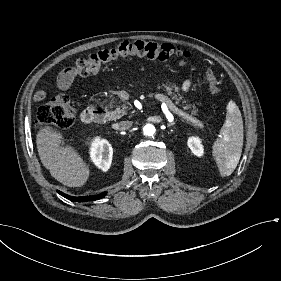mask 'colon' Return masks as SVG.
Segmentation results:
<instances>
[{
  "label": "colon",
  "mask_w": 281,
  "mask_h": 281,
  "mask_svg": "<svg viewBox=\"0 0 281 281\" xmlns=\"http://www.w3.org/2000/svg\"><path fill=\"white\" fill-rule=\"evenodd\" d=\"M131 57H147L159 61L181 59L185 53L170 44L136 41L124 42L113 49H107L84 56L75 61L73 72L78 76L96 74L104 67ZM205 77L213 94L219 95L220 85L211 69H206ZM36 126L39 129H68L75 121V111L71 100L66 94H57L43 104L36 114Z\"/></svg>",
  "instance_id": "obj_1"
}]
</instances>
